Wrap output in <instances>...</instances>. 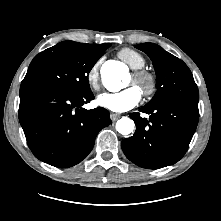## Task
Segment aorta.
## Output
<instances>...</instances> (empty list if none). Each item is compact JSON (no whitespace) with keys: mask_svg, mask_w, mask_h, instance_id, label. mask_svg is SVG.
<instances>
[{"mask_svg":"<svg viewBox=\"0 0 221 221\" xmlns=\"http://www.w3.org/2000/svg\"><path fill=\"white\" fill-rule=\"evenodd\" d=\"M126 74V69L122 64L105 63L101 68V77L105 87L112 92L119 91L123 84L121 80ZM135 124L132 119L122 117L116 123L117 131L122 135H129L133 132Z\"/></svg>","mask_w":221,"mask_h":221,"instance_id":"obj_1","label":"aorta"}]
</instances>
